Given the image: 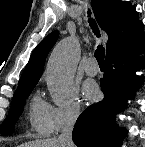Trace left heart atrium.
<instances>
[{"mask_svg":"<svg viewBox=\"0 0 145 147\" xmlns=\"http://www.w3.org/2000/svg\"><path fill=\"white\" fill-rule=\"evenodd\" d=\"M82 90H83V95L87 100L93 101L98 98L99 89L94 81H90V80L86 81L83 84Z\"/></svg>","mask_w":145,"mask_h":147,"instance_id":"obj_1","label":"left heart atrium"}]
</instances>
